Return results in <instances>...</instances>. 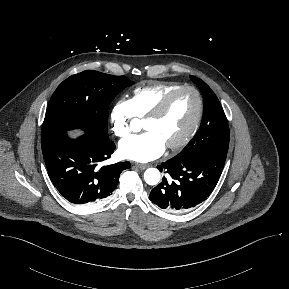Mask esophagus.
I'll list each match as a JSON object with an SVG mask.
<instances>
[{
    "label": "esophagus",
    "instance_id": "esophagus-1",
    "mask_svg": "<svg viewBox=\"0 0 289 289\" xmlns=\"http://www.w3.org/2000/svg\"><path fill=\"white\" fill-rule=\"evenodd\" d=\"M135 166L138 167L139 169H142V170L149 167V165H147V164H140V163H136Z\"/></svg>",
    "mask_w": 289,
    "mask_h": 289
}]
</instances>
